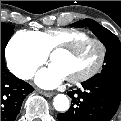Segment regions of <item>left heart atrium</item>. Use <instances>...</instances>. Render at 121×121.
I'll use <instances>...</instances> for the list:
<instances>
[{"label":"left heart atrium","instance_id":"39dd6f15","mask_svg":"<svg viewBox=\"0 0 121 121\" xmlns=\"http://www.w3.org/2000/svg\"><path fill=\"white\" fill-rule=\"evenodd\" d=\"M65 79L64 75L55 66L42 69L36 75V83L44 88H55Z\"/></svg>","mask_w":121,"mask_h":121}]
</instances>
